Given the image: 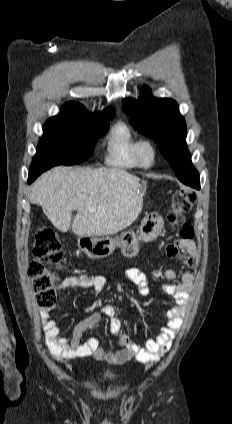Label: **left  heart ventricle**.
Listing matches in <instances>:
<instances>
[{
	"label": "left heart ventricle",
	"instance_id": "left-heart-ventricle-1",
	"mask_svg": "<svg viewBox=\"0 0 232 424\" xmlns=\"http://www.w3.org/2000/svg\"><path fill=\"white\" fill-rule=\"evenodd\" d=\"M144 158H145V160H148V158H149V153H148L147 150L144 151Z\"/></svg>",
	"mask_w": 232,
	"mask_h": 424
}]
</instances>
